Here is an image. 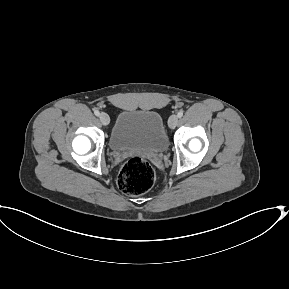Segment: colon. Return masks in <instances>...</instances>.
Segmentation results:
<instances>
[{"label": "colon", "instance_id": "obj_1", "mask_svg": "<svg viewBox=\"0 0 289 289\" xmlns=\"http://www.w3.org/2000/svg\"><path fill=\"white\" fill-rule=\"evenodd\" d=\"M154 181L155 172L151 164L141 157H132L123 164L117 183L123 193L137 196L149 191Z\"/></svg>", "mask_w": 289, "mask_h": 289}]
</instances>
